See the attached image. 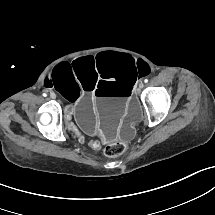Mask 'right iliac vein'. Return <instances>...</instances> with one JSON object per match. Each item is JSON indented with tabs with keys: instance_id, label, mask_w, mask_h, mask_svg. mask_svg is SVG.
<instances>
[{
	"instance_id": "1",
	"label": "right iliac vein",
	"mask_w": 215,
	"mask_h": 215,
	"mask_svg": "<svg viewBox=\"0 0 215 215\" xmlns=\"http://www.w3.org/2000/svg\"><path fill=\"white\" fill-rule=\"evenodd\" d=\"M50 97H51L52 99H55V98H56V94H55L54 92H52V93L50 94Z\"/></svg>"
}]
</instances>
